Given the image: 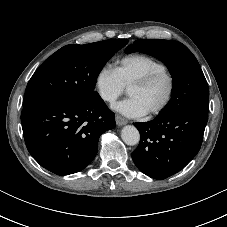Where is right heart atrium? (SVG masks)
<instances>
[{
	"label": "right heart atrium",
	"instance_id": "right-heart-atrium-1",
	"mask_svg": "<svg viewBox=\"0 0 227 227\" xmlns=\"http://www.w3.org/2000/svg\"><path fill=\"white\" fill-rule=\"evenodd\" d=\"M94 88L99 98L109 105H112L125 90L115 70L107 65L97 71L94 77Z\"/></svg>",
	"mask_w": 227,
	"mask_h": 227
}]
</instances>
